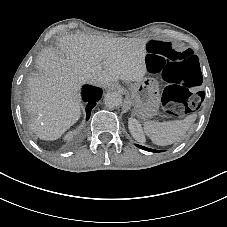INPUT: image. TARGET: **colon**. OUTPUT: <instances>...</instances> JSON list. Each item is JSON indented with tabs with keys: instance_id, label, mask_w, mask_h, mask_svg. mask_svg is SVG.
<instances>
[{
	"instance_id": "5ec220e1",
	"label": "colon",
	"mask_w": 227,
	"mask_h": 227,
	"mask_svg": "<svg viewBox=\"0 0 227 227\" xmlns=\"http://www.w3.org/2000/svg\"><path fill=\"white\" fill-rule=\"evenodd\" d=\"M146 64L167 84L162 103L168 114L177 116L198 108L201 96L193 88L201 83L202 73L192 50L180 51L168 41L153 39L146 45Z\"/></svg>"
}]
</instances>
